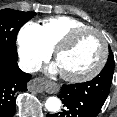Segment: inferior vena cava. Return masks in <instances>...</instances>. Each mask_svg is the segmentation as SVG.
<instances>
[{
  "instance_id": "1",
  "label": "inferior vena cava",
  "mask_w": 117,
  "mask_h": 117,
  "mask_svg": "<svg viewBox=\"0 0 117 117\" xmlns=\"http://www.w3.org/2000/svg\"><path fill=\"white\" fill-rule=\"evenodd\" d=\"M18 64L20 69L26 73H33L41 68L40 62L31 59H21Z\"/></svg>"
}]
</instances>
